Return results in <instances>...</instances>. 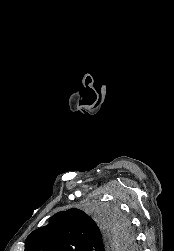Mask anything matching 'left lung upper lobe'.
I'll return each mask as SVG.
<instances>
[{
    "label": "left lung upper lobe",
    "mask_w": 174,
    "mask_h": 251,
    "mask_svg": "<svg viewBox=\"0 0 174 251\" xmlns=\"http://www.w3.org/2000/svg\"><path fill=\"white\" fill-rule=\"evenodd\" d=\"M132 243L131 226L118 211L97 207L90 217L72 208L58 212L47 226L33 231L24 251H115Z\"/></svg>",
    "instance_id": "1"
}]
</instances>
